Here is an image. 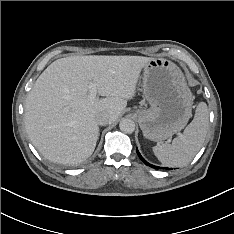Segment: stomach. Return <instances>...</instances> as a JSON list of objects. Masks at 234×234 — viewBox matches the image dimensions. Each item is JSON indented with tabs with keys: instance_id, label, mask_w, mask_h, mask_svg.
<instances>
[{
	"instance_id": "stomach-1",
	"label": "stomach",
	"mask_w": 234,
	"mask_h": 234,
	"mask_svg": "<svg viewBox=\"0 0 234 234\" xmlns=\"http://www.w3.org/2000/svg\"><path fill=\"white\" fill-rule=\"evenodd\" d=\"M149 109L136 111L145 138L160 142L181 131L191 117L193 96L180 68L170 60L151 59L143 66Z\"/></svg>"
}]
</instances>
